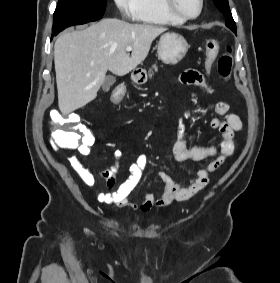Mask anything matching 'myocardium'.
<instances>
[{"label": "myocardium", "instance_id": "obj_1", "mask_svg": "<svg viewBox=\"0 0 280 283\" xmlns=\"http://www.w3.org/2000/svg\"><path fill=\"white\" fill-rule=\"evenodd\" d=\"M165 6L167 10L173 14L174 16L178 17L181 20L187 21V20H193L198 18L204 9V0H199V10L195 15H188L181 10L178 9L176 6L175 0H164Z\"/></svg>", "mask_w": 280, "mask_h": 283}]
</instances>
